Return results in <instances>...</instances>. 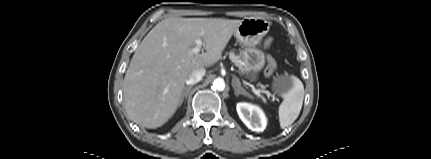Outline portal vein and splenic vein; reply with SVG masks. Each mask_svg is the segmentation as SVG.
<instances>
[{
    "label": "portal vein and splenic vein",
    "instance_id": "18ae733b",
    "mask_svg": "<svg viewBox=\"0 0 431 159\" xmlns=\"http://www.w3.org/2000/svg\"><path fill=\"white\" fill-rule=\"evenodd\" d=\"M195 47H193L191 50H190V53L191 54H198L200 51H201V48H202V46H203V42H202V40L200 39V38H198V39H196L195 40ZM252 91L258 96V97H261L264 101H265V99L261 96V91L260 90H256V89H252Z\"/></svg>",
    "mask_w": 431,
    "mask_h": 159
}]
</instances>
